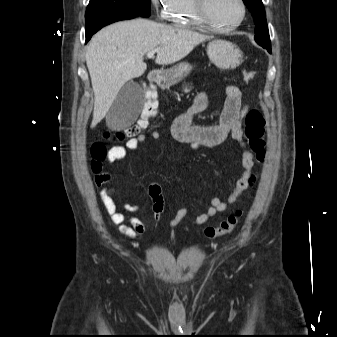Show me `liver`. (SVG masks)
Segmentation results:
<instances>
[{
  "mask_svg": "<svg viewBox=\"0 0 337 337\" xmlns=\"http://www.w3.org/2000/svg\"><path fill=\"white\" fill-rule=\"evenodd\" d=\"M208 38L142 18L117 22L96 33L86 51L94 91L91 128L106 116L126 82L144 74L147 69L143 61L145 54L156 50L155 62L169 65L186 57Z\"/></svg>",
  "mask_w": 337,
  "mask_h": 337,
  "instance_id": "6515ba94",
  "label": "liver"
}]
</instances>
